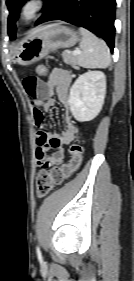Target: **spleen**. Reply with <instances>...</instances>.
<instances>
[{
	"label": "spleen",
	"instance_id": "spleen-1",
	"mask_svg": "<svg viewBox=\"0 0 134 281\" xmlns=\"http://www.w3.org/2000/svg\"><path fill=\"white\" fill-rule=\"evenodd\" d=\"M79 31L82 35L80 42L82 53L78 56V64L84 68H107L111 57L106 43L84 28H80Z\"/></svg>",
	"mask_w": 134,
	"mask_h": 281
}]
</instances>
